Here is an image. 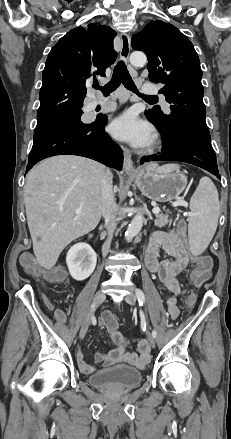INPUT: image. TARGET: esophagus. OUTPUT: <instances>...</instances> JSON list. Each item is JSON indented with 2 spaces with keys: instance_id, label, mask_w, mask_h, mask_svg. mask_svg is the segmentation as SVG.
Returning a JSON list of instances; mask_svg holds the SVG:
<instances>
[{
  "instance_id": "esophagus-1",
  "label": "esophagus",
  "mask_w": 231,
  "mask_h": 439,
  "mask_svg": "<svg viewBox=\"0 0 231 439\" xmlns=\"http://www.w3.org/2000/svg\"><path fill=\"white\" fill-rule=\"evenodd\" d=\"M131 49V41L130 35L126 33L121 34V50H120V59L124 62L128 61L129 54ZM124 152V162L123 169L126 173H131L135 170L133 160L131 157V153L128 148L125 146H121Z\"/></svg>"
}]
</instances>
